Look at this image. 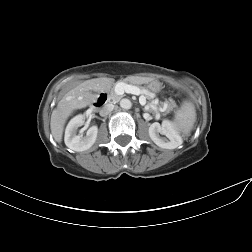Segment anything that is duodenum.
<instances>
[{"mask_svg": "<svg viewBox=\"0 0 252 252\" xmlns=\"http://www.w3.org/2000/svg\"><path fill=\"white\" fill-rule=\"evenodd\" d=\"M109 101V94L104 92L101 93L98 98L96 99V101L93 103V107L95 109H100L102 108L107 102Z\"/></svg>", "mask_w": 252, "mask_h": 252, "instance_id": "duodenum-1", "label": "duodenum"}]
</instances>
